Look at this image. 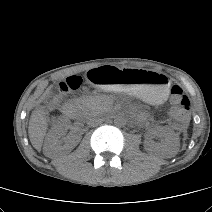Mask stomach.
<instances>
[{"label":"stomach","instance_id":"stomach-1","mask_svg":"<svg viewBox=\"0 0 212 212\" xmlns=\"http://www.w3.org/2000/svg\"><path fill=\"white\" fill-rule=\"evenodd\" d=\"M85 77L98 86L123 91L153 104H161L169 94L170 82L165 75L140 68L121 69L117 64H105L88 68Z\"/></svg>","mask_w":212,"mask_h":212}]
</instances>
